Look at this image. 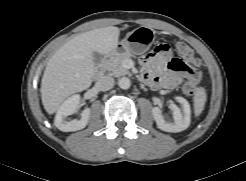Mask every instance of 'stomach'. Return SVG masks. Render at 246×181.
<instances>
[{
  "label": "stomach",
  "mask_w": 246,
  "mask_h": 181,
  "mask_svg": "<svg viewBox=\"0 0 246 181\" xmlns=\"http://www.w3.org/2000/svg\"><path fill=\"white\" fill-rule=\"evenodd\" d=\"M155 39V33L151 28L139 27L129 34L117 44L116 48L110 53L111 57L123 54H143L153 44Z\"/></svg>",
  "instance_id": "0dacf381"
}]
</instances>
